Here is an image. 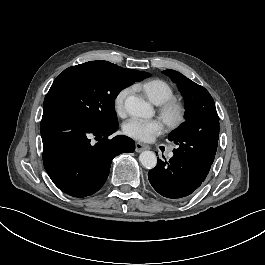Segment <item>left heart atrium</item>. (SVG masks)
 I'll list each match as a JSON object with an SVG mask.
<instances>
[{
    "label": "left heart atrium",
    "instance_id": "1",
    "mask_svg": "<svg viewBox=\"0 0 265 265\" xmlns=\"http://www.w3.org/2000/svg\"><path fill=\"white\" fill-rule=\"evenodd\" d=\"M164 126L160 120H142L133 118L123 127L124 133L138 141H151L163 132Z\"/></svg>",
    "mask_w": 265,
    "mask_h": 265
}]
</instances>
